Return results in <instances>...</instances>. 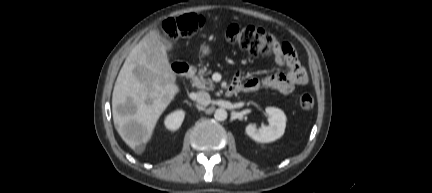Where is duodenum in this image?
<instances>
[{
  "label": "duodenum",
  "instance_id": "410a0bca",
  "mask_svg": "<svg viewBox=\"0 0 432 193\" xmlns=\"http://www.w3.org/2000/svg\"><path fill=\"white\" fill-rule=\"evenodd\" d=\"M175 74L181 77H189L194 74L193 67L189 63L185 62H176L172 66ZM242 89L240 84H232L226 90V94L228 96L233 95L235 92L240 91Z\"/></svg>",
  "mask_w": 432,
  "mask_h": 193
}]
</instances>
